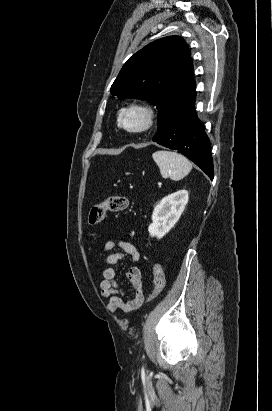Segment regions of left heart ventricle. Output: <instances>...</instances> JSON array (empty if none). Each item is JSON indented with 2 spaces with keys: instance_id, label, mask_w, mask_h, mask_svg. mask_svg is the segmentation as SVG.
Returning <instances> with one entry per match:
<instances>
[{
  "instance_id": "1",
  "label": "left heart ventricle",
  "mask_w": 272,
  "mask_h": 411,
  "mask_svg": "<svg viewBox=\"0 0 272 411\" xmlns=\"http://www.w3.org/2000/svg\"><path fill=\"white\" fill-rule=\"evenodd\" d=\"M126 123L131 126V127H136L141 124L142 122V117L139 113L136 112H131L127 114L126 118Z\"/></svg>"
}]
</instances>
